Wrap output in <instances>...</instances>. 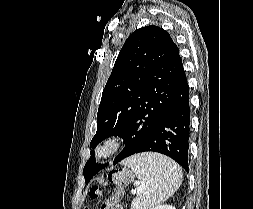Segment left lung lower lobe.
<instances>
[{"label": "left lung lower lobe", "instance_id": "1", "mask_svg": "<svg viewBox=\"0 0 253 209\" xmlns=\"http://www.w3.org/2000/svg\"><path fill=\"white\" fill-rule=\"evenodd\" d=\"M189 137V86L183 69L169 107L136 153L153 151L165 154L179 163L186 171H189Z\"/></svg>", "mask_w": 253, "mask_h": 209}]
</instances>
